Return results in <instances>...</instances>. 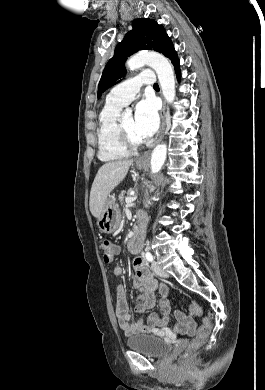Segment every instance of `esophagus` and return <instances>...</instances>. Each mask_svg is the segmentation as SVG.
Wrapping results in <instances>:
<instances>
[{
    "instance_id": "esophagus-1",
    "label": "esophagus",
    "mask_w": 265,
    "mask_h": 390,
    "mask_svg": "<svg viewBox=\"0 0 265 390\" xmlns=\"http://www.w3.org/2000/svg\"><path fill=\"white\" fill-rule=\"evenodd\" d=\"M165 113H166V103L163 99V107H162V111H161V119H162L161 129H160L159 137H158L155 144L159 143L163 139V136H164L165 126H166ZM149 156H150V150L145 152L141 157H139L137 161L138 162H147L149 160Z\"/></svg>"
}]
</instances>
